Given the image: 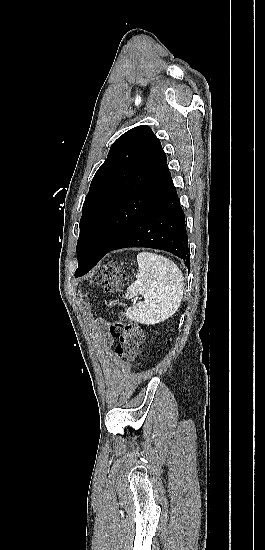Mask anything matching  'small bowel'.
Listing matches in <instances>:
<instances>
[{"label":"small bowel","mask_w":265,"mask_h":550,"mask_svg":"<svg viewBox=\"0 0 265 550\" xmlns=\"http://www.w3.org/2000/svg\"><path fill=\"white\" fill-rule=\"evenodd\" d=\"M113 343V338L112 336H109L108 338L105 339V345L106 346H111Z\"/></svg>","instance_id":"obj_1"}]
</instances>
